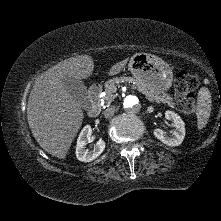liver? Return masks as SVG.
Instances as JSON below:
<instances>
[{
    "instance_id": "1",
    "label": "liver",
    "mask_w": 221,
    "mask_h": 221,
    "mask_svg": "<svg viewBox=\"0 0 221 221\" xmlns=\"http://www.w3.org/2000/svg\"><path fill=\"white\" fill-rule=\"evenodd\" d=\"M127 62L128 58L116 63L108 74L120 73ZM93 70L94 61L88 55L68 58L40 75L30 92L27 119L31 132L41 148L59 159L66 157L84 118L81 105L66 91L63 79H86Z\"/></svg>"
}]
</instances>
